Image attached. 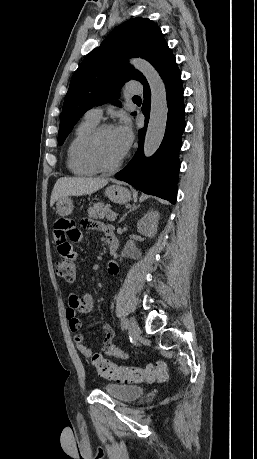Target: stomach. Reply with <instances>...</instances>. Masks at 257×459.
Returning <instances> with one entry per match:
<instances>
[{
    "mask_svg": "<svg viewBox=\"0 0 257 459\" xmlns=\"http://www.w3.org/2000/svg\"><path fill=\"white\" fill-rule=\"evenodd\" d=\"M106 196L115 203L123 204L131 200V193L127 188L120 185H111L105 190ZM73 202L69 197H61L57 200L56 210L60 216L72 214Z\"/></svg>",
    "mask_w": 257,
    "mask_h": 459,
    "instance_id": "1",
    "label": "stomach"
}]
</instances>
